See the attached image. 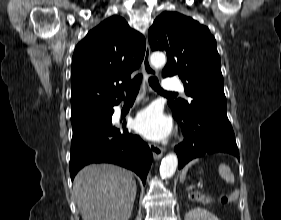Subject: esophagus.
<instances>
[{"label": "esophagus", "instance_id": "esophagus-1", "mask_svg": "<svg viewBox=\"0 0 281 220\" xmlns=\"http://www.w3.org/2000/svg\"><path fill=\"white\" fill-rule=\"evenodd\" d=\"M142 67H143V73H144V85L147 86L148 78L157 74L156 69H154L150 63V47H149L148 42L146 44V50H145V55H144V59L142 62ZM150 149L152 151L154 159L161 158L165 151L164 148L159 147L154 144H150Z\"/></svg>", "mask_w": 281, "mask_h": 220}]
</instances>
